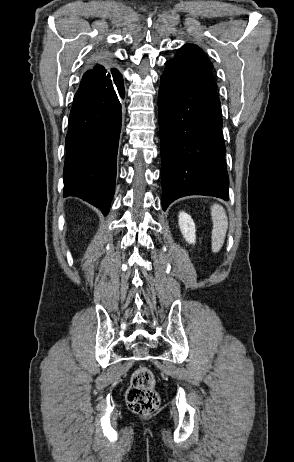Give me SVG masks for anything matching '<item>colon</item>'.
<instances>
[{"instance_id":"1","label":"colon","mask_w":294,"mask_h":462,"mask_svg":"<svg viewBox=\"0 0 294 462\" xmlns=\"http://www.w3.org/2000/svg\"><path fill=\"white\" fill-rule=\"evenodd\" d=\"M126 401L129 408L140 415H149L158 409L160 397L155 390L154 374L148 367L141 366L132 374Z\"/></svg>"}]
</instances>
